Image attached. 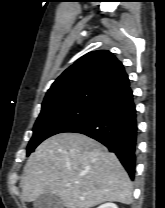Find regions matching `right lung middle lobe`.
<instances>
[{
    "mask_svg": "<svg viewBox=\"0 0 165 208\" xmlns=\"http://www.w3.org/2000/svg\"><path fill=\"white\" fill-rule=\"evenodd\" d=\"M95 104L62 103L42 107L34 125L33 136L27 147V155L48 137L65 132L81 121L93 109Z\"/></svg>",
    "mask_w": 165,
    "mask_h": 208,
    "instance_id": "obj_1",
    "label": "right lung middle lobe"
}]
</instances>
